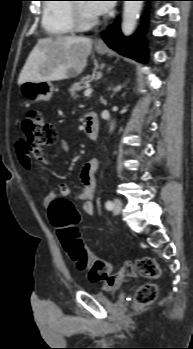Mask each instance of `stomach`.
<instances>
[{
	"instance_id": "1",
	"label": "stomach",
	"mask_w": 193,
	"mask_h": 349,
	"mask_svg": "<svg viewBox=\"0 0 193 349\" xmlns=\"http://www.w3.org/2000/svg\"><path fill=\"white\" fill-rule=\"evenodd\" d=\"M99 54H105L107 49L97 48ZM54 87L48 81H26L20 85V93L28 102L48 101L52 97Z\"/></svg>"
}]
</instances>
